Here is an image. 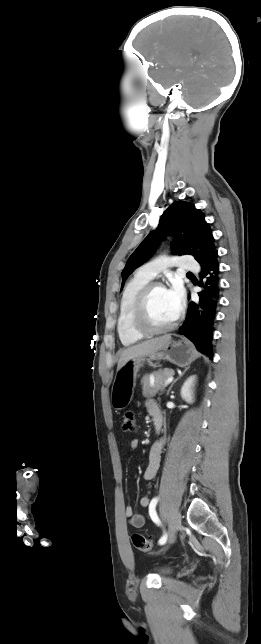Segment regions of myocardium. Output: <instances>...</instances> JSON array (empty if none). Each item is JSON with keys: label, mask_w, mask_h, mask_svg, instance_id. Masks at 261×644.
<instances>
[{"label": "myocardium", "mask_w": 261, "mask_h": 644, "mask_svg": "<svg viewBox=\"0 0 261 644\" xmlns=\"http://www.w3.org/2000/svg\"><path fill=\"white\" fill-rule=\"evenodd\" d=\"M156 288L166 289L165 285L160 282H157V281L148 282L140 290L133 306L132 326L136 332L140 333L143 336L158 335V334L171 331L177 326L180 319V314H178L170 324L163 327H154L148 322V319H147L148 300L151 293Z\"/></svg>", "instance_id": "myocardium-1"}]
</instances>
